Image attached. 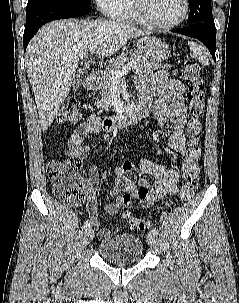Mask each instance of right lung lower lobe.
<instances>
[{"mask_svg":"<svg viewBox=\"0 0 239 303\" xmlns=\"http://www.w3.org/2000/svg\"><path fill=\"white\" fill-rule=\"evenodd\" d=\"M90 5H47L26 11V25L23 35L24 51L39 28L47 22L85 15Z\"/></svg>","mask_w":239,"mask_h":303,"instance_id":"1","label":"right lung lower lobe"}]
</instances>
